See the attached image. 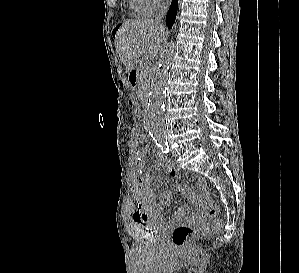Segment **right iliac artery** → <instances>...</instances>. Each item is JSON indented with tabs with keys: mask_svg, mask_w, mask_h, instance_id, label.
<instances>
[{
	"mask_svg": "<svg viewBox=\"0 0 299 273\" xmlns=\"http://www.w3.org/2000/svg\"><path fill=\"white\" fill-rule=\"evenodd\" d=\"M163 143H161V144H158L159 145V147L162 145Z\"/></svg>",
	"mask_w": 299,
	"mask_h": 273,
	"instance_id": "right-iliac-artery-1",
	"label": "right iliac artery"
}]
</instances>
